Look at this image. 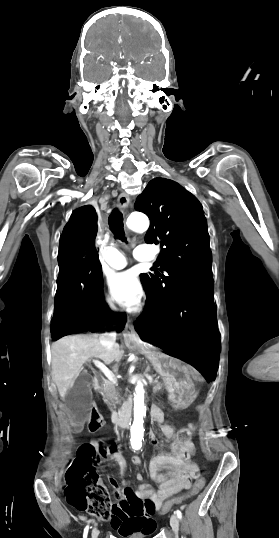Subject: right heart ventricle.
<instances>
[{
  "label": "right heart ventricle",
  "mask_w": 279,
  "mask_h": 538,
  "mask_svg": "<svg viewBox=\"0 0 279 538\" xmlns=\"http://www.w3.org/2000/svg\"><path fill=\"white\" fill-rule=\"evenodd\" d=\"M126 225H127V224H125V230H126V227H127Z\"/></svg>",
  "instance_id": "right-heart-ventricle-1"
}]
</instances>
